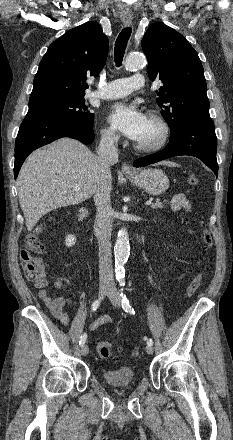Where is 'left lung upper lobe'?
Instances as JSON below:
<instances>
[{"instance_id":"5c2ea615","label":"left lung upper lobe","mask_w":233,"mask_h":440,"mask_svg":"<svg viewBox=\"0 0 233 440\" xmlns=\"http://www.w3.org/2000/svg\"><path fill=\"white\" fill-rule=\"evenodd\" d=\"M142 48L148 59L150 79L163 83L156 102L169 124L171 136L191 118H210L203 66L184 36L155 22L146 31Z\"/></svg>"}]
</instances>
